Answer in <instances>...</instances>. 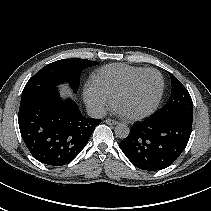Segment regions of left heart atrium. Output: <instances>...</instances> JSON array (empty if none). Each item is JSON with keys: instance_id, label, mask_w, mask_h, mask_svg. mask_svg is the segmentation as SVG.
<instances>
[{"instance_id": "39dd6f15", "label": "left heart atrium", "mask_w": 211, "mask_h": 211, "mask_svg": "<svg viewBox=\"0 0 211 211\" xmlns=\"http://www.w3.org/2000/svg\"><path fill=\"white\" fill-rule=\"evenodd\" d=\"M114 110L118 114H122V115L124 114V112L118 106H116Z\"/></svg>"}]
</instances>
